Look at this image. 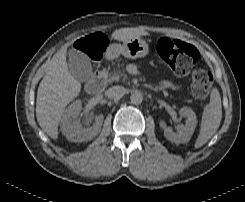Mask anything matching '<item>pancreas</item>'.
I'll return each mask as SVG.
<instances>
[{
	"label": "pancreas",
	"instance_id": "1",
	"mask_svg": "<svg viewBox=\"0 0 245 202\" xmlns=\"http://www.w3.org/2000/svg\"><path fill=\"white\" fill-rule=\"evenodd\" d=\"M122 78L123 81L126 80L127 75L125 73L124 69H118V70H114L112 75H110L108 81L109 82H116V81H120V79Z\"/></svg>",
	"mask_w": 245,
	"mask_h": 202
}]
</instances>
